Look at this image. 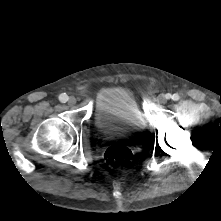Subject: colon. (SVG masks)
<instances>
[{
	"label": "colon",
	"instance_id": "obj_1",
	"mask_svg": "<svg viewBox=\"0 0 221 221\" xmlns=\"http://www.w3.org/2000/svg\"><path fill=\"white\" fill-rule=\"evenodd\" d=\"M104 159L110 167L123 169L131 162L132 152L127 146L115 143L106 149Z\"/></svg>",
	"mask_w": 221,
	"mask_h": 221
}]
</instances>
